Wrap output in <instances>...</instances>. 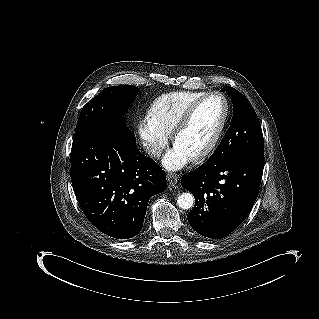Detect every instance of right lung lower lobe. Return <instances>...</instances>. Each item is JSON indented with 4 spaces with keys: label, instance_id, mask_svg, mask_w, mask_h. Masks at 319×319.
Wrapping results in <instances>:
<instances>
[{
    "label": "right lung lower lobe",
    "instance_id": "obj_1",
    "mask_svg": "<svg viewBox=\"0 0 319 319\" xmlns=\"http://www.w3.org/2000/svg\"><path fill=\"white\" fill-rule=\"evenodd\" d=\"M71 181L88 220L104 234L129 239L142 229L149 199L166 189V174L136 147L125 128L74 138Z\"/></svg>",
    "mask_w": 319,
    "mask_h": 319
}]
</instances>
